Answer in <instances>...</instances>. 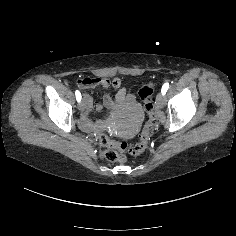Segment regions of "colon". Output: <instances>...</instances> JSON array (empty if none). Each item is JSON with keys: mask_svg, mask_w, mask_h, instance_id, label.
<instances>
[{"mask_svg": "<svg viewBox=\"0 0 236 236\" xmlns=\"http://www.w3.org/2000/svg\"><path fill=\"white\" fill-rule=\"evenodd\" d=\"M104 80L105 79L101 78H81L77 80V84L80 87H88L90 85L100 83ZM154 92L155 85L153 83H148L144 85L139 91V96L144 103V108L145 111L148 113L149 118L141 132L139 141L136 144H130L125 141L118 142L111 140L105 134L100 135V143L104 148V156L107 160L113 162H124V153L127 152L131 155L137 156L145 151L150 140L151 132L158 123V117L154 107Z\"/></svg>", "mask_w": 236, "mask_h": 236, "instance_id": "obj_1", "label": "colon"}]
</instances>
